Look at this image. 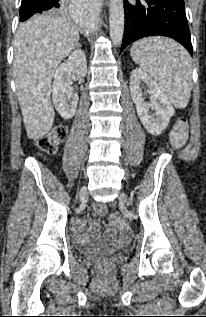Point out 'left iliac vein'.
Segmentation results:
<instances>
[{
  "label": "left iliac vein",
  "instance_id": "obj_1",
  "mask_svg": "<svg viewBox=\"0 0 206 317\" xmlns=\"http://www.w3.org/2000/svg\"><path fill=\"white\" fill-rule=\"evenodd\" d=\"M119 200L121 203L130 204V199L128 198V196L125 193L120 194Z\"/></svg>",
  "mask_w": 206,
  "mask_h": 317
}]
</instances>
